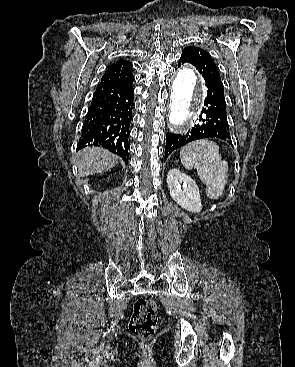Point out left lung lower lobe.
Listing matches in <instances>:
<instances>
[{
    "mask_svg": "<svg viewBox=\"0 0 295 367\" xmlns=\"http://www.w3.org/2000/svg\"><path fill=\"white\" fill-rule=\"evenodd\" d=\"M183 63L186 61L179 60L178 67ZM202 76L207 87V97L204 101L205 107L199 116V123L186 135L167 133L164 161L172 151L203 138H218L232 145L221 78L212 74Z\"/></svg>",
    "mask_w": 295,
    "mask_h": 367,
    "instance_id": "0a47b994",
    "label": "left lung lower lobe"
}]
</instances>
